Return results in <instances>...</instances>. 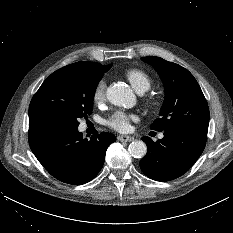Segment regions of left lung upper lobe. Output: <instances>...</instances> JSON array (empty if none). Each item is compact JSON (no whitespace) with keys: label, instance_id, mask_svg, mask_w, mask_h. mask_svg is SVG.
Instances as JSON below:
<instances>
[{"label":"left lung upper lobe","instance_id":"5c2ea615","mask_svg":"<svg viewBox=\"0 0 233 233\" xmlns=\"http://www.w3.org/2000/svg\"><path fill=\"white\" fill-rule=\"evenodd\" d=\"M141 59L157 71L165 88L160 118L154 121L151 129L166 131L188 125L208 128V104L193 75L182 66L159 57Z\"/></svg>","mask_w":233,"mask_h":233}]
</instances>
